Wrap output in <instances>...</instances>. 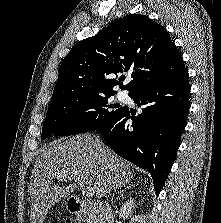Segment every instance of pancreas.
I'll use <instances>...</instances> for the list:
<instances>
[{"label":"pancreas","instance_id":"cf45deb5","mask_svg":"<svg viewBox=\"0 0 221 223\" xmlns=\"http://www.w3.org/2000/svg\"><path fill=\"white\" fill-rule=\"evenodd\" d=\"M86 223H96V220L93 216H89V218L86 219Z\"/></svg>","mask_w":221,"mask_h":223}]
</instances>
